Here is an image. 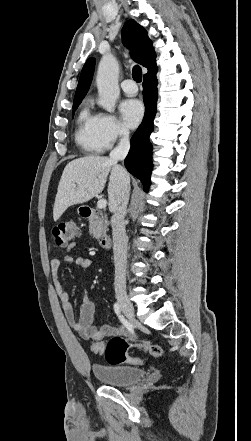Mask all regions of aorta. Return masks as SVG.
Returning <instances> with one entry per match:
<instances>
[{
	"label": "aorta",
	"mask_w": 251,
	"mask_h": 441,
	"mask_svg": "<svg viewBox=\"0 0 251 441\" xmlns=\"http://www.w3.org/2000/svg\"><path fill=\"white\" fill-rule=\"evenodd\" d=\"M118 74L119 65L116 58L111 54L104 55L98 66L96 83L99 105L108 112H114L120 94Z\"/></svg>",
	"instance_id": "762f6f07"
}]
</instances>
